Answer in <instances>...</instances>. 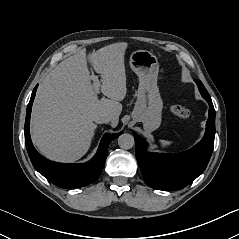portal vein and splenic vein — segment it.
I'll return each mask as SVG.
<instances>
[{
    "label": "portal vein and splenic vein",
    "instance_id": "1",
    "mask_svg": "<svg viewBox=\"0 0 239 239\" xmlns=\"http://www.w3.org/2000/svg\"><path fill=\"white\" fill-rule=\"evenodd\" d=\"M93 82H94V90H95V93L98 94L99 93V90H100V87H101V84L98 80L97 77H93Z\"/></svg>",
    "mask_w": 239,
    "mask_h": 239
}]
</instances>
